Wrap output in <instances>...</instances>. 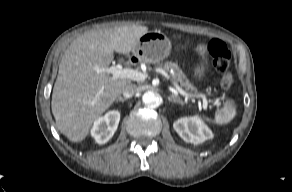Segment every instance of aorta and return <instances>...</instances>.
Listing matches in <instances>:
<instances>
[{
  "instance_id": "1",
  "label": "aorta",
  "mask_w": 292,
  "mask_h": 192,
  "mask_svg": "<svg viewBox=\"0 0 292 192\" xmlns=\"http://www.w3.org/2000/svg\"><path fill=\"white\" fill-rule=\"evenodd\" d=\"M142 101L149 108H156L160 104V97L153 91H147L142 96Z\"/></svg>"
}]
</instances>
